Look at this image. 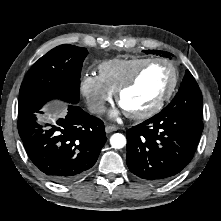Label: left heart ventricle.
Instances as JSON below:
<instances>
[{
  "mask_svg": "<svg viewBox=\"0 0 221 221\" xmlns=\"http://www.w3.org/2000/svg\"><path fill=\"white\" fill-rule=\"evenodd\" d=\"M172 78L169 66L163 63L150 65L138 81L121 97V107L128 112H141L151 107L167 90Z\"/></svg>",
  "mask_w": 221,
  "mask_h": 221,
  "instance_id": "obj_1",
  "label": "left heart ventricle"
}]
</instances>
